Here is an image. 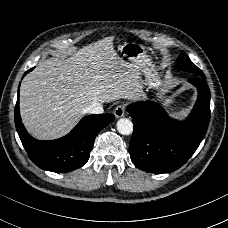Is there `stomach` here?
Returning a JSON list of instances; mask_svg holds the SVG:
<instances>
[{
    "label": "stomach",
    "mask_w": 228,
    "mask_h": 228,
    "mask_svg": "<svg viewBox=\"0 0 228 228\" xmlns=\"http://www.w3.org/2000/svg\"><path fill=\"white\" fill-rule=\"evenodd\" d=\"M118 50L121 55L127 59V63L134 68L141 70L145 75V84L152 89L160 90L163 81L154 68L148 67L151 59L147 55L146 49L142 44L134 42H125L119 45Z\"/></svg>",
    "instance_id": "stomach-1"
}]
</instances>
